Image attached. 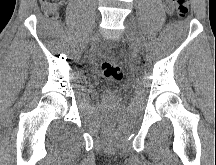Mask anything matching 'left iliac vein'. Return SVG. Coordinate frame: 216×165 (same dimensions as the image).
Instances as JSON below:
<instances>
[{"label": "left iliac vein", "mask_w": 216, "mask_h": 165, "mask_svg": "<svg viewBox=\"0 0 216 165\" xmlns=\"http://www.w3.org/2000/svg\"><path fill=\"white\" fill-rule=\"evenodd\" d=\"M125 31H126V35H127L128 39L131 42V44L133 45L134 49L136 51H140L142 48L141 39L139 37L138 31H137L135 25L132 23L131 20L127 19L125 21Z\"/></svg>", "instance_id": "1"}]
</instances>
